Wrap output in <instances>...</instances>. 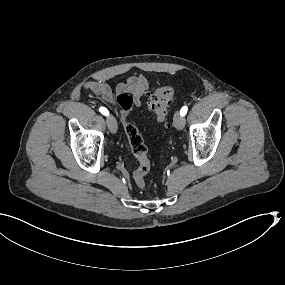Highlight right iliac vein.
Listing matches in <instances>:
<instances>
[{
  "label": "right iliac vein",
  "mask_w": 285,
  "mask_h": 285,
  "mask_svg": "<svg viewBox=\"0 0 285 285\" xmlns=\"http://www.w3.org/2000/svg\"><path fill=\"white\" fill-rule=\"evenodd\" d=\"M107 126L111 133L115 134L117 132V121L113 116L107 118Z\"/></svg>",
  "instance_id": "right-iliac-vein-1"
}]
</instances>
